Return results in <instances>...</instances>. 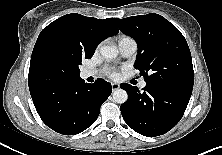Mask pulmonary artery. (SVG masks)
Masks as SVG:
<instances>
[{
  "mask_svg": "<svg viewBox=\"0 0 222 155\" xmlns=\"http://www.w3.org/2000/svg\"><path fill=\"white\" fill-rule=\"evenodd\" d=\"M118 47H119L120 53L124 57H130L137 51V44L131 38L121 39L118 43ZM93 74H94L93 71L87 70V69L83 70L81 73L83 78H88L92 76ZM145 86H146V82L142 81L140 83V87L144 88Z\"/></svg>",
  "mask_w": 222,
  "mask_h": 155,
  "instance_id": "1",
  "label": "pulmonary artery"
}]
</instances>
